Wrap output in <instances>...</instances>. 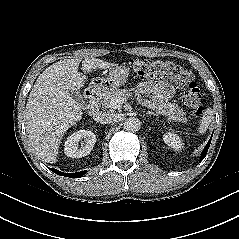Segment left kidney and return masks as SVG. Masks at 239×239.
<instances>
[{
    "label": "left kidney",
    "instance_id": "obj_1",
    "mask_svg": "<svg viewBox=\"0 0 239 239\" xmlns=\"http://www.w3.org/2000/svg\"><path fill=\"white\" fill-rule=\"evenodd\" d=\"M163 140L164 142L170 147L173 148L175 150H180L182 148V141L179 138V136H177L174 133H166L163 135Z\"/></svg>",
    "mask_w": 239,
    "mask_h": 239
}]
</instances>
